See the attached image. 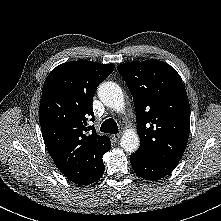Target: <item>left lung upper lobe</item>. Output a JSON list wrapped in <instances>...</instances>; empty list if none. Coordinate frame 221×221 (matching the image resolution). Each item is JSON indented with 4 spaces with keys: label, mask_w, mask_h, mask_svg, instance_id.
I'll return each mask as SVG.
<instances>
[{
    "label": "left lung upper lobe",
    "mask_w": 221,
    "mask_h": 221,
    "mask_svg": "<svg viewBox=\"0 0 221 221\" xmlns=\"http://www.w3.org/2000/svg\"><path fill=\"white\" fill-rule=\"evenodd\" d=\"M117 69L135 104L141 140L135 153L178 164L190 127L189 102L181 77L173 67L159 60L128 62Z\"/></svg>",
    "instance_id": "left-lung-upper-lobe-1"
}]
</instances>
